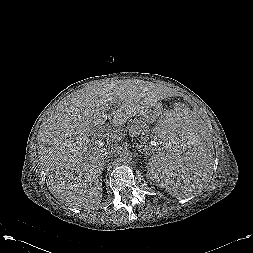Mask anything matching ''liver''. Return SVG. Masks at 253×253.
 Returning a JSON list of instances; mask_svg holds the SVG:
<instances>
[{
    "label": "liver",
    "instance_id": "liver-1",
    "mask_svg": "<svg viewBox=\"0 0 253 253\" xmlns=\"http://www.w3.org/2000/svg\"><path fill=\"white\" fill-rule=\"evenodd\" d=\"M158 99L155 84L126 80L90 85L64 100L43 123L38 151L52 195L77 209L99 206L104 155L103 144L89 138L93 127L108 119L120 128Z\"/></svg>",
    "mask_w": 253,
    "mask_h": 253
}]
</instances>
